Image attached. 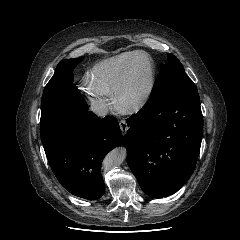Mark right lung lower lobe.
I'll use <instances>...</instances> for the list:
<instances>
[{
    "instance_id": "right-lung-lower-lobe-1",
    "label": "right lung lower lobe",
    "mask_w": 240,
    "mask_h": 240,
    "mask_svg": "<svg viewBox=\"0 0 240 240\" xmlns=\"http://www.w3.org/2000/svg\"><path fill=\"white\" fill-rule=\"evenodd\" d=\"M40 127L48 162L60 184L75 196L101 198L105 192L101 162L122 142L117 119L101 120L88 111L80 95L71 100L68 112L59 111Z\"/></svg>"
}]
</instances>
